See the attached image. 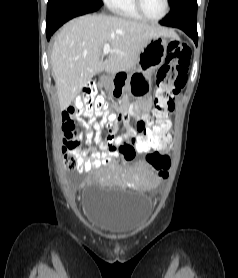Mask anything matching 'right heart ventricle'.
<instances>
[{"mask_svg": "<svg viewBox=\"0 0 238 278\" xmlns=\"http://www.w3.org/2000/svg\"><path fill=\"white\" fill-rule=\"evenodd\" d=\"M108 7L120 17L138 21L144 20L137 11L134 0H113Z\"/></svg>", "mask_w": 238, "mask_h": 278, "instance_id": "right-heart-ventricle-1", "label": "right heart ventricle"}]
</instances>
